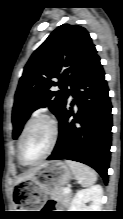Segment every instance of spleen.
I'll return each instance as SVG.
<instances>
[{
	"label": "spleen",
	"instance_id": "3e777b00",
	"mask_svg": "<svg viewBox=\"0 0 123 219\" xmlns=\"http://www.w3.org/2000/svg\"><path fill=\"white\" fill-rule=\"evenodd\" d=\"M66 163L71 168L76 180L82 186L88 187L97 181V174L90 167L70 160H66Z\"/></svg>",
	"mask_w": 123,
	"mask_h": 219
}]
</instances>
